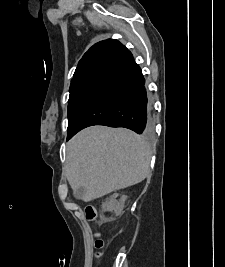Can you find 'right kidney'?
Instances as JSON below:
<instances>
[{"label": "right kidney", "instance_id": "right-kidney-1", "mask_svg": "<svg viewBox=\"0 0 225 267\" xmlns=\"http://www.w3.org/2000/svg\"><path fill=\"white\" fill-rule=\"evenodd\" d=\"M117 194L113 195L108 201H106L102 208L105 211H114L116 216L121 215L124 208V202L127 199L126 196H122L119 201L116 200Z\"/></svg>", "mask_w": 225, "mask_h": 267}]
</instances>
